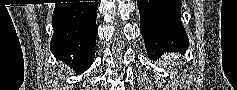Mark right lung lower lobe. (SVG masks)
Listing matches in <instances>:
<instances>
[{
	"label": "right lung lower lobe",
	"mask_w": 237,
	"mask_h": 90,
	"mask_svg": "<svg viewBox=\"0 0 237 90\" xmlns=\"http://www.w3.org/2000/svg\"><path fill=\"white\" fill-rule=\"evenodd\" d=\"M96 17L97 1L55 4L50 48L57 60L73 63L81 71L92 65L98 33Z\"/></svg>",
	"instance_id": "right-lung-lower-lobe-1"
}]
</instances>
